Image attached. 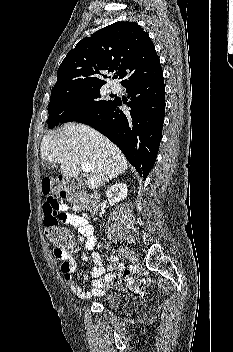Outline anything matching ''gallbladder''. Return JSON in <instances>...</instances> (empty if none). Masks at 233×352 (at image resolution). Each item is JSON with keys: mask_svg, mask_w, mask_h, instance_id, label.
<instances>
[{"mask_svg": "<svg viewBox=\"0 0 233 352\" xmlns=\"http://www.w3.org/2000/svg\"><path fill=\"white\" fill-rule=\"evenodd\" d=\"M84 181L82 180H74V181H71L69 184H68V189L72 192V193H75L77 191H79L83 186H84Z\"/></svg>", "mask_w": 233, "mask_h": 352, "instance_id": "bac80fb5", "label": "gallbladder"}]
</instances>
